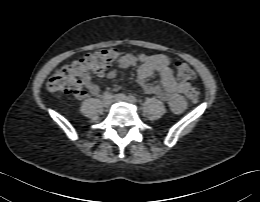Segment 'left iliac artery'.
I'll return each instance as SVG.
<instances>
[{"instance_id":"44dca946","label":"left iliac artery","mask_w":260,"mask_h":202,"mask_svg":"<svg viewBox=\"0 0 260 202\" xmlns=\"http://www.w3.org/2000/svg\"><path fill=\"white\" fill-rule=\"evenodd\" d=\"M128 98L132 103H137V99L133 95H129Z\"/></svg>"}]
</instances>
